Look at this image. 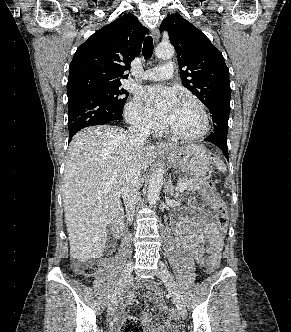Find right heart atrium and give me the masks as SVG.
Instances as JSON below:
<instances>
[{"instance_id":"d8ad5b80","label":"right heart atrium","mask_w":291,"mask_h":332,"mask_svg":"<svg viewBox=\"0 0 291 332\" xmlns=\"http://www.w3.org/2000/svg\"><path fill=\"white\" fill-rule=\"evenodd\" d=\"M125 115L127 121L140 130L154 131L158 127L157 123L149 116L147 110L136 98L126 106Z\"/></svg>"}]
</instances>
